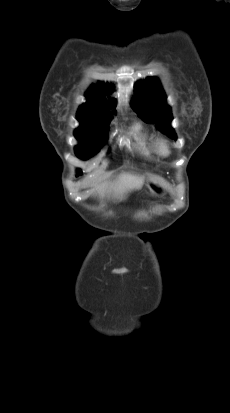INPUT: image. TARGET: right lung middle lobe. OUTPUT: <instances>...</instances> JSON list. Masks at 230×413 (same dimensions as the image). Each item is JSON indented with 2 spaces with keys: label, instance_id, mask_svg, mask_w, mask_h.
I'll list each match as a JSON object with an SVG mask.
<instances>
[{
  "label": "right lung middle lobe",
  "instance_id": "dd1d6c3e",
  "mask_svg": "<svg viewBox=\"0 0 230 413\" xmlns=\"http://www.w3.org/2000/svg\"><path fill=\"white\" fill-rule=\"evenodd\" d=\"M107 123L101 122L75 131V136L80 142V145L75 147L79 158L88 159L99 151L100 147L106 142Z\"/></svg>",
  "mask_w": 230,
  "mask_h": 413
}]
</instances>
